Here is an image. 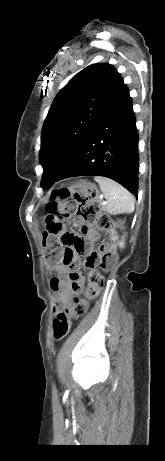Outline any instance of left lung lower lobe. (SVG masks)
<instances>
[{"label": "left lung lower lobe", "instance_id": "left-lung-lower-lobe-1", "mask_svg": "<svg viewBox=\"0 0 165 461\" xmlns=\"http://www.w3.org/2000/svg\"><path fill=\"white\" fill-rule=\"evenodd\" d=\"M138 161L135 116L124 84L53 183L76 176H104L137 195Z\"/></svg>", "mask_w": 165, "mask_h": 461}]
</instances>
